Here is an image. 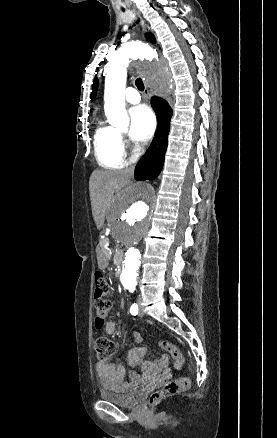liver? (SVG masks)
I'll use <instances>...</instances> for the list:
<instances>
[{"mask_svg":"<svg viewBox=\"0 0 277 438\" xmlns=\"http://www.w3.org/2000/svg\"><path fill=\"white\" fill-rule=\"evenodd\" d=\"M130 178L124 172H110V170H94L90 178V200L94 222L100 230L104 224L105 216L115 205L114 192L117 188H125Z\"/></svg>","mask_w":277,"mask_h":438,"instance_id":"6515ba94","label":"liver"}]
</instances>
